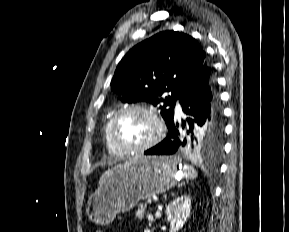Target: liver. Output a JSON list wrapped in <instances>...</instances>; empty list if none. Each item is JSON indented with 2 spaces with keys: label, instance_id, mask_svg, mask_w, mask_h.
Returning <instances> with one entry per match:
<instances>
[{
  "label": "liver",
  "instance_id": "6515ba94",
  "mask_svg": "<svg viewBox=\"0 0 289 232\" xmlns=\"http://www.w3.org/2000/svg\"><path fill=\"white\" fill-rule=\"evenodd\" d=\"M117 167H120V166H117ZM117 167H114V168H117ZM114 168H113V169H114ZM111 171H112V169L106 171V172L102 175V177L100 178V181H99V186L102 185V183L104 182V180L110 175Z\"/></svg>",
  "mask_w": 289,
  "mask_h": 232
}]
</instances>
